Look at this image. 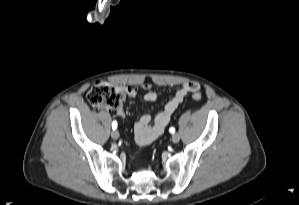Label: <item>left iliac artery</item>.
<instances>
[{"instance_id": "44dca946", "label": "left iliac artery", "mask_w": 299, "mask_h": 205, "mask_svg": "<svg viewBox=\"0 0 299 205\" xmlns=\"http://www.w3.org/2000/svg\"><path fill=\"white\" fill-rule=\"evenodd\" d=\"M169 131H170L171 133H174V132H175V128L171 127V128L169 129Z\"/></svg>"}]
</instances>
